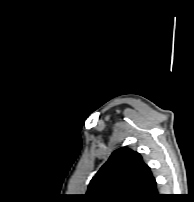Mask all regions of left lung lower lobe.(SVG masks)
I'll return each instance as SVG.
<instances>
[{
	"instance_id": "0a47b994",
	"label": "left lung lower lobe",
	"mask_w": 194,
	"mask_h": 202,
	"mask_svg": "<svg viewBox=\"0 0 194 202\" xmlns=\"http://www.w3.org/2000/svg\"><path fill=\"white\" fill-rule=\"evenodd\" d=\"M160 194H157L156 196H155V199H158V198H160Z\"/></svg>"
}]
</instances>
